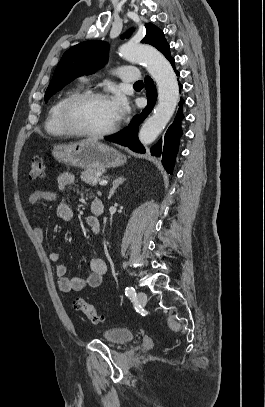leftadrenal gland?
I'll return each instance as SVG.
<instances>
[{
  "instance_id": "a2214340",
  "label": "left adrenal gland",
  "mask_w": 265,
  "mask_h": 407,
  "mask_svg": "<svg viewBox=\"0 0 265 407\" xmlns=\"http://www.w3.org/2000/svg\"><path fill=\"white\" fill-rule=\"evenodd\" d=\"M125 180H126V178H124L123 176H120V177L116 178L115 180H113V186H112V188H111L110 191H109L108 199H110V198L113 196V194L115 193L116 189H117L121 184H123V182H124Z\"/></svg>"
}]
</instances>
